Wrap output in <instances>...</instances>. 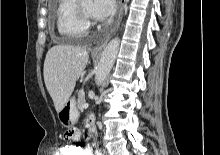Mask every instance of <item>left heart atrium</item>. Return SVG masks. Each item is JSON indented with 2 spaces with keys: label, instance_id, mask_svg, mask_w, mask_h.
I'll return each instance as SVG.
<instances>
[{
  "label": "left heart atrium",
  "instance_id": "1",
  "mask_svg": "<svg viewBox=\"0 0 220 155\" xmlns=\"http://www.w3.org/2000/svg\"><path fill=\"white\" fill-rule=\"evenodd\" d=\"M116 0H93L92 14L97 19H106L114 14Z\"/></svg>",
  "mask_w": 220,
  "mask_h": 155
}]
</instances>
